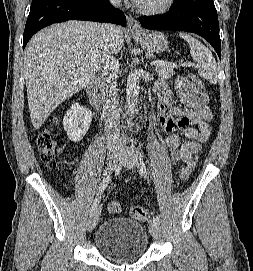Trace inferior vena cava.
<instances>
[{
	"label": "inferior vena cava",
	"mask_w": 253,
	"mask_h": 271,
	"mask_svg": "<svg viewBox=\"0 0 253 271\" xmlns=\"http://www.w3.org/2000/svg\"><path fill=\"white\" fill-rule=\"evenodd\" d=\"M115 7L120 6L121 0H110ZM101 35L105 44L100 58V88L104 100V121L106 143L109 152L122 150L120 144V105L116 88L118 63L112 53V39L115 28L111 24L100 25Z\"/></svg>",
	"instance_id": "602c4592"
}]
</instances>
